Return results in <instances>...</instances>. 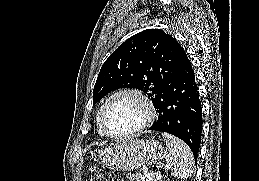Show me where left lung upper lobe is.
<instances>
[{"label":"left lung upper lobe","instance_id":"1","mask_svg":"<svg viewBox=\"0 0 259 181\" xmlns=\"http://www.w3.org/2000/svg\"><path fill=\"white\" fill-rule=\"evenodd\" d=\"M179 43L160 29L127 39L104 62L93 91V103L118 88H136L156 106L165 85L177 71Z\"/></svg>","mask_w":259,"mask_h":181}]
</instances>
